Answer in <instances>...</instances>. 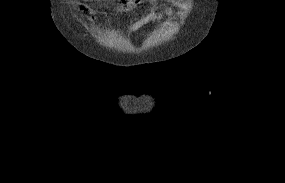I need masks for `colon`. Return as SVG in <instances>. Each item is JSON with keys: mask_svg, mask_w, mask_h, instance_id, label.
<instances>
[{"mask_svg": "<svg viewBox=\"0 0 285 183\" xmlns=\"http://www.w3.org/2000/svg\"><path fill=\"white\" fill-rule=\"evenodd\" d=\"M123 2H127V1H129V2H137L138 0H122Z\"/></svg>", "mask_w": 285, "mask_h": 183, "instance_id": "1", "label": "colon"}]
</instances>
